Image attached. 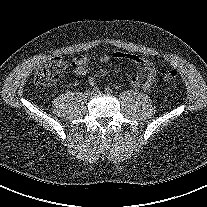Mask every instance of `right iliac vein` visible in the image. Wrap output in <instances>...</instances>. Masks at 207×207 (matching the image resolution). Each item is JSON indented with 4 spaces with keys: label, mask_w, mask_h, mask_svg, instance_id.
Returning <instances> with one entry per match:
<instances>
[{
    "label": "right iliac vein",
    "mask_w": 207,
    "mask_h": 207,
    "mask_svg": "<svg viewBox=\"0 0 207 207\" xmlns=\"http://www.w3.org/2000/svg\"><path fill=\"white\" fill-rule=\"evenodd\" d=\"M86 95H87L88 97H90V96L93 95V93H92L91 91H87V92H86Z\"/></svg>",
    "instance_id": "obj_1"
}]
</instances>
